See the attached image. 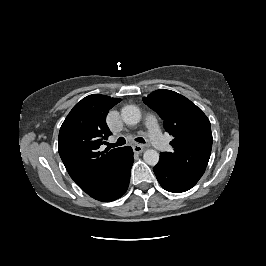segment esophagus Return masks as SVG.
<instances>
[{
  "instance_id": "1",
  "label": "esophagus",
  "mask_w": 266,
  "mask_h": 266,
  "mask_svg": "<svg viewBox=\"0 0 266 266\" xmlns=\"http://www.w3.org/2000/svg\"><path fill=\"white\" fill-rule=\"evenodd\" d=\"M143 150H144V146L141 145V144H135V145L133 146V151H134L135 153H141Z\"/></svg>"
}]
</instances>
